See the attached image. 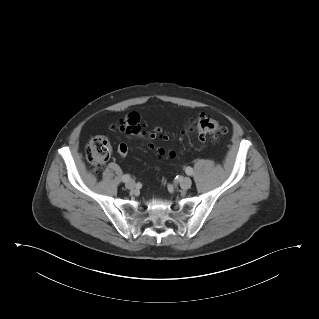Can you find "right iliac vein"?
I'll return each instance as SVG.
<instances>
[{
	"label": "right iliac vein",
	"mask_w": 319,
	"mask_h": 319,
	"mask_svg": "<svg viewBox=\"0 0 319 319\" xmlns=\"http://www.w3.org/2000/svg\"><path fill=\"white\" fill-rule=\"evenodd\" d=\"M125 186H126L127 189L132 190V189L135 188L136 184H135V182H134L133 180H129V181L126 183Z\"/></svg>",
	"instance_id": "1"
}]
</instances>
